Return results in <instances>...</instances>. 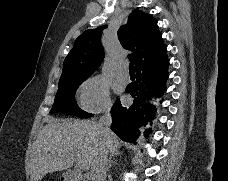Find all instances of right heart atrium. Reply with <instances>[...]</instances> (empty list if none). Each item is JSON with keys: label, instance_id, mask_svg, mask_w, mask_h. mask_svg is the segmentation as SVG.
Instances as JSON below:
<instances>
[{"label": "right heart atrium", "instance_id": "obj_1", "mask_svg": "<svg viewBox=\"0 0 228 181\" xmlns=\"http://www.w3.org/2000/svg\"><path fill=\"white\" fill-rule=\"evenodd\" d=\"M81 103L90 112L107 110L110 106L108 86L100 78L90 79L82 91Z\"/></svg>", "mask_w": 228, "mask_h": 181}]
</instances>
